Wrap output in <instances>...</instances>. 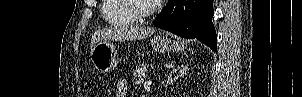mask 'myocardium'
<instances>
[{
	"label": "myocardium",
	"instance_id": "obj_1",
	"mask_svg": "<svg viewBox=\"0 0 302 97\" xmlns=\"http://www.w3.org/2000/svg\"><path fill=\"white\" fill-rule=\"evenodd\" d=\"M136 0H125V8L136 19V21H143L151 16L157 10V4H150L145 11H140L136 5Z\"/></svg>",
	"mask_w": 302,
	"mask_h": 97
}]
</instances>
